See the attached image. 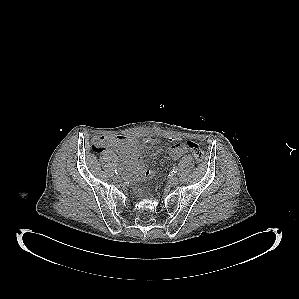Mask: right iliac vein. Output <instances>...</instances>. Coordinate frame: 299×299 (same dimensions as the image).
Here are the masks:
<instances>
[{"mask_svg": "<svg viewBox=\"0 0 299 299\" xmlns=\"http://www.w3.org/2000/svg\"><path fill=\"white\" fill-rule=\"evenodd\" d=\"M113 179H114V181H116V182H121V177L119 176V175H115L114 177H113Z\"/></svg>", "mask_w": 299, "mask_h": 299, "instance_id": "obj_1", "label": "right iliac vein"}]
</instances>
